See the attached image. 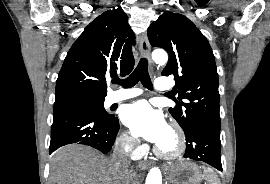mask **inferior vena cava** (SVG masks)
I'll return each mask as SVG.
<instances>
[{
  "mask_svg": "<svg viewBox=\"0 0 270 184\" xmlns=\"http://www.w3.org/2000/svg\"><path fill=\"white\" fill-rule=\"evenodd\" d=\"M137 144L133 139H125L116 143L111 163L118 169L126 171L130 165L129 151Z\"/></svg>",
  "mask_w": 270,
  "mask_h": 184,
  "instance_id": "obj_1",
  "label": "inferior vena cava"
}]
</instances>
